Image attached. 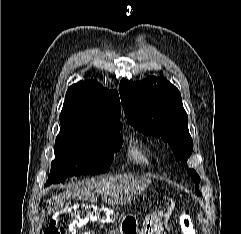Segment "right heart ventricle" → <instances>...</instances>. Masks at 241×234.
<instances>
[{
  "mask_svg": "<svg viewBox=\"0 0 241 234\" xmlns=\"http://www.w3.org/2000/svg\"><path fill=\"white\" fill-rule=\"evenodd\" d=\"M128 155L133 163L142 167H151L154 163L153 157L149 150L139 140H132L130 142Z\"/></svg>",
  "mask_w": 241,
  "mask_h": 234,
  "instance_id": "obj_1",
  "label": "right heart ventricle"
}]
</instances>
